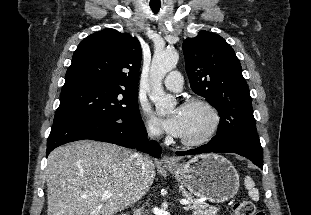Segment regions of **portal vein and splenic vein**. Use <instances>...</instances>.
<instances>
[{
  "instance_id": "portal-vein-and-splenic-vein-1",
  "label": "portal vein and splenic vein",
  "mask_w": 311,
  "mask_h": 215,
  "mask_svg": "<svg viewBox=\"0 0 311 215\" xmlns=\"http://www.w3.org/2000/svg\"><path fill=\"white\" fill-rule=\"evenodd\" d=\"M95 194L99 195L103 200L109 199L112 196L110 191H104V192L95 193ZM180 204L188 205L189 201L187 199H180Z\"/></svg>"
}]
</instances>
